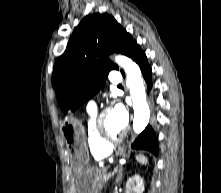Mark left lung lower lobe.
Returning <instances> with one entry per match:
<instances>
[{"label":"left lung lower lobe","instance_id":"0a47b994","mask_svg":"<svg viewBox=\"0 0 221 193\" xmlns=\"http://www.w3.org/2000/svg\"><path fill=\"white\" fill-rule=\"evenodd\" d=\"M132 58L140 67L142 75L147 83L148 92L152 87V70L147 62V57L145 53L141 50L140 46L136 43L129 52L128 55ZM122 74L124 75L123 71ZM133 149L136 150H147L154 155L158 154V142L155 132L152 130L151 126H147L145 130L140 133L138 138L131 145Z\"/></svg>","mask_w":221,"mask_h":193}]
</instances>
